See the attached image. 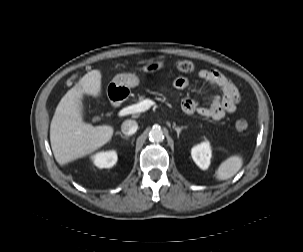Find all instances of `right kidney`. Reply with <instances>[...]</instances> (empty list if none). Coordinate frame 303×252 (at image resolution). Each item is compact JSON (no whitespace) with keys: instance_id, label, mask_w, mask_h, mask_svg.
I'll return each mask as SVG.
<instances>
[{"instance_id":"obj_1","label":"right kidney","mask_w":303,"mask_h":252,"mask_svg":"<svg viewBox=\"0 0 303 252\" xmlns=\"http://www.w3.org/2000/svg\"><path fill=\"white\" fill-rule=\"evenodd\" d=\"M117 153L114 150L100 152L92 157L93 163L98 168H111L117 162Z\"/></svg>"}]
</instances>
